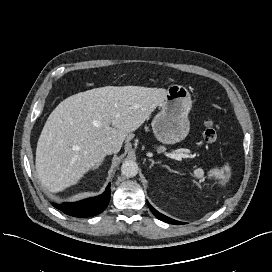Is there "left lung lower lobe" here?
Listing matches in <instances>:
<instances>
[{"instance_id": "1", "label": "left lung lower lobe", "mask_w": 272, "mask_h": 272, "mask_svg": "<svg viewBox=\"0 0 272 272\" xmlns=\"http://www.w3.org/2000/svg\"><path fill=\"white\" fill-rule=\"evenodd\" d=\"M147 203H148V206H149L150 210L152 211V213H153L158 219H160V220H162V221H165V222H167V223H170V224H176V225L182 224V222L176 221V220H174V219H171V218H169V217H167V216H165V215L159 213L156 209H154V208L149 204V202H147Z\"/></svg>"}]
</instances>
